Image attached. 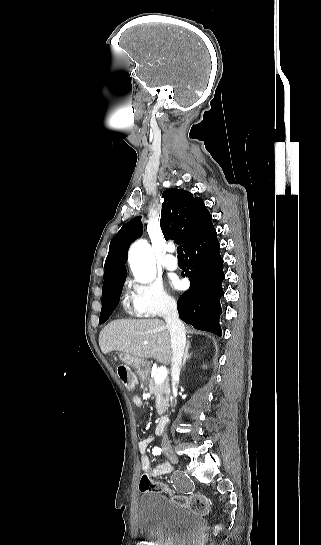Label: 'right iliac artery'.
Wrapping results in <instances>:
<instances>
[{
    "instance_id": "82829eb1",
    "label": "right iliac artery",
    "mask_w": 321,
    "mask_h": 545,
    "mask_svg": "<svg viewBox=\"0 0 321 545\" xmlns=\"http://www.w3.org/2000/svg\"><path fill=\"white\" fill-rule=\"evenodd\" d=\"M153 455H160L162 452V449L160 447H155L153 450Z\"/></svg>"
}]
</instances>
